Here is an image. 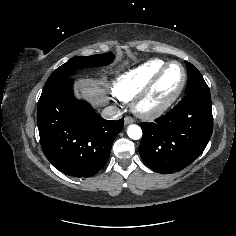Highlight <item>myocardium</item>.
Masks as SVG:
<instances>
[{"label":"myocardium","mask_w":236,"mask_h":236,"mask_svg":"<svg viewBox=\"0 0 236 236\" xmlns=\"http://www.w3.org/2000/svg\"><path fill=\"white\" fill-rule=\"evenodd\" d=\"M178 65L182 70V81L180 83V86L176 90V92L163 104L153 107V108H145L143 106L144 102L147 100V98L152 93L153 89L157 85V83L160 81L162 76L165 74L167 69L171 65ZM187 82V72L184 66L177 61H171L167 62L164 66H162L155 75L149 80V82L145 85V87L135 96L134 102L132 104L133 111L135 114H137L139 117L144 119H155L163 115L167 110H169L175 102L178 100L180 95L182 94L185 85Z\"/></svg>","instance_id":"myocardium-1"}]
</instances>
